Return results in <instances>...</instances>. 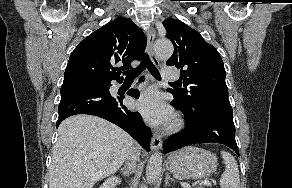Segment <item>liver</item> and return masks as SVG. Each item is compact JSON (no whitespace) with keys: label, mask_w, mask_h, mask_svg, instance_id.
Masks as SVG:
<instances>
[{"label":"liver","mask_w":292,"mask_h":188,"mask_svg":"<svg viewBox=\"0 0 292 188\" xmlns=\"http://www.w3.org/2000/svg\"><path fill=\"white\" fill-rule=\"evenodd\" d=\"M133 146L132 137L102 118L71 116L58 128L49 188H93L121 167Z\"/></svg>","instance_id":"1"}]
</instances>
